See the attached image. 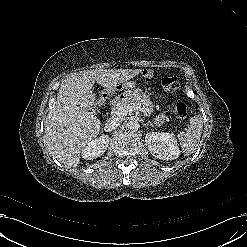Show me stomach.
<instances>
[{"mask_svg":"<svg viewBox=\"0 0 247 247\" xmlns=\"http://www.w3.org/2000/svg\"><path fill=\"white\" fill-rule=\"evenodd\" d=\"M134 87H135V84L134 82H131V81L129 82L126 81L116 86L117 89L125 90L123 93V96L126 98L132 96L135 93Z\"/></svg>","mask_w":247,"mask_h":247,"instance_id":"obj_1","label":"stomach"}]
</instances>
